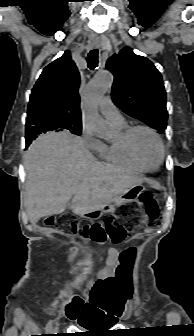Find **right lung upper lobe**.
<instances>
[{
    "instance_id": "right-lung-upper-lobe-1",
    "label": "right lung upper lobe",
    "mask_w": 194,
    "mask_h": 336,
    "mask_svg": "<svg viewBox=\"0 0 194 336\" xmlns=\"http://www.w3.org/2000/svg\"><path fill=\"white\" fill-rule=\"evenodd\" d=\"M79 83L80 75L69 51L44 68L32 90L26 120L27 127L43 129L28 134L26 143L48 131L65 130L64 126L82 127Z\"/></svg>"
}]
</instances>
